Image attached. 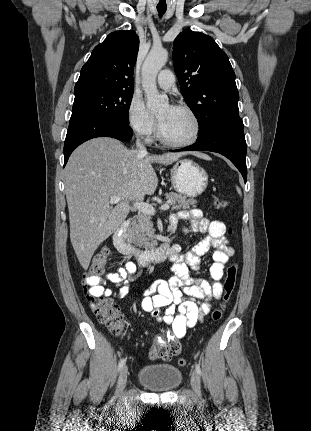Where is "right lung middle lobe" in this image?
Listing matches in <instances>:
<instances>
[{
	"mask_svg": "<svg viewBox=\"0 0 311 431\" xmlns=\"http://www.w3.org/2000/svg\"><path fill=\"white\" fill-rule=\"evenodd\" d=\"M70 122L86 117H105L128 122L133 91L88 88L74 92Z\"/></svg>",
	"mask_w": 311,
	"mask_h": 431,
	"instance_id": "1",
	"label": "right lung middle lobe"
}]
</instances>
